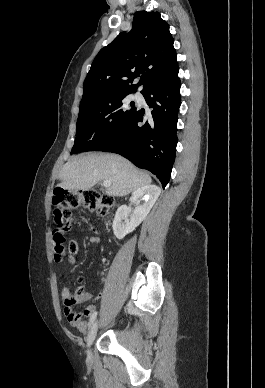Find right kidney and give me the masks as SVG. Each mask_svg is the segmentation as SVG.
I'll return each instance as SVG.
<instances>
[{
  "label": "right kidney",
  "instance_id": "ca27d5eb",
  "mask_svg": "<svg viewBox=\"0 0 265 388\" xmlns=\"http://www.w3.org/2000/svg\"><path fill=\"white\" fill-rule=\"evenodd\" d=\"M160 194L161 190L158 186H142L133 192L129 200L132 204H136L133 214L127 206L118 208L113 222V232L118 240H123L127 234L133 232L145 220ZM139 198L145 200L144 204H139Z\"/></svg>",
  "mask_w": 265,
  "mask_h": 388
}]
</instances>
